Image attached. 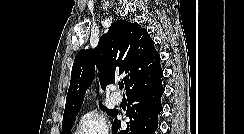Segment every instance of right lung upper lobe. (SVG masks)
Masks as SVG:
<instances>
[{"label":"right lung upper lobe","instance_id":"cb5924a9","mask_svg":"<svg viewBox=\"0 0 244 134\" xmlns=\"http://www.w3.org/2000/svg\"><path fill=\"white\" fill-rule=\"evenodd\" d=\"M100 71L104 87L124 76L126 94L163 74L160 55L146 29L138 23L118 20L93 49L77 53L71 72L63 118L78 114L87 88L94 79V68Z\"/></svg>","mask_w":244,"mask_h":134}]
</instances>
